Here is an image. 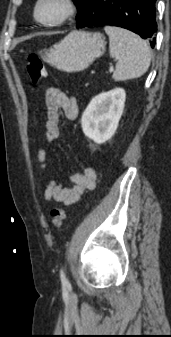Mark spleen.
I'll use <instances>...</instances> for the list:
<instances>
[{
  "mask_svg": "<svg viewBox=\"0 0 171 337\" xmlns=\"http://www.w3.org/2000/svg\"><path fill=\"white\" fill-rule=\"evenodd\" d=\"M109 36V52L117 59L113 73L115 81H126L141 77L150 66L151 52L145 40L126 29L106 26Z\"/></svg>",
  "mask_w": 171,
  "mask_h": 337,
  "instance_id": "3e777b00",
  "label": "spleen"
}]
</instances>
